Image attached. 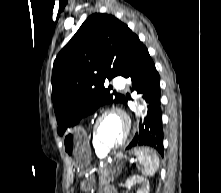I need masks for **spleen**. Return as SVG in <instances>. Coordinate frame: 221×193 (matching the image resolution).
<instances>
[{"mask_svg":"<svg viewBox=\"0 0 221 193\" xmlns=\"http://www.w3.org/2000/svg\"><path fill=\"white\" fill-rule=\"evenodd\" d=\"M135 154L145 176H153L159 168V158L150 146H135Z\"/></svg>","mask_w":221,"mask_h":193,"instance_id":"spleen-1","label":"spleen"}]
</instances>
